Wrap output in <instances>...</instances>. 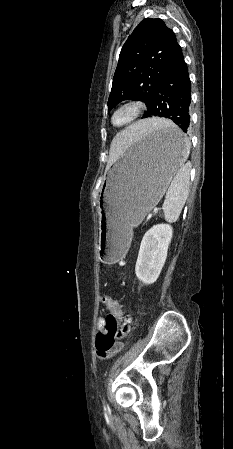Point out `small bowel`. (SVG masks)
Masks as SVG:
<instances>
[{"label": "small bowel", "instance_id": "small-bowel-1", "mask_svg": "<svg viewBox=\"0 0 233 449\" xmlns=\"http://www.w3.org/2000/svg\"><path fill=\"white\" fill-rule=\"evenodd\" d=\"M97 328H98V330H99V333L100 332H104L105 331V329H106V324H105V319L103 318V317H98V320H97ZM118 349H115L112 353H107V354H99V356L101 357V358H107L108 356H110L111 354H113V353H115L116 351H117Z\"/></svg>", "mask_w": 233, "mask_h": 449}]
</instances>
